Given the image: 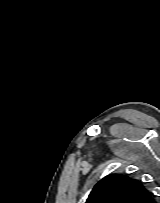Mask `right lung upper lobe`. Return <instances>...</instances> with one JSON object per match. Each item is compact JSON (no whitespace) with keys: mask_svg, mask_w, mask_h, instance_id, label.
Instances as JSON below:
<instances>
[{"mask_svg":"<svg viewBox=\"0 0 160 203\" xmlns=\"http://www.w3.org/2000/svg\"><path fill=\"white\" fill-rule=\"evenodd\" d=\"M86 203H155L143 185L125 175L104 177L91 191Z\"/></svg>","mask_w":160,"mask_h":203,"instance_id":"obj_1","label":"right lung upper lobe"}]
</instances>
